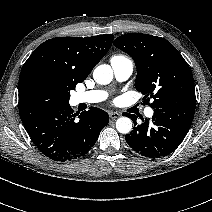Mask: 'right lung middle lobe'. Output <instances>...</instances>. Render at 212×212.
Returning a JSON list of instances; mask_svg holds the SVG:
<instances>
[{"instance_id": "right-lung-middle-lobe-1", "label": "right lung middle lobe", "mask_w": 212, "mask_h": 212, "mask_svg": "<svg viewBox=\"0 0 212 212\" xmlns=\"http://www.w3.org/2000/svg\"><path fill=\"white\" fill-rule=\"evenodd\" d=\"M73 89V87L59 84L50 78H37L30 81L25 87L22 101L68 103L70 90Z\"/></svg>"}]
</instances>
